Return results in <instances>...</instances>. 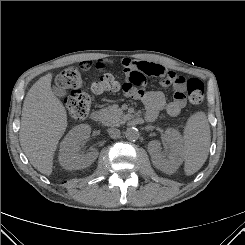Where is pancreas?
Wrapping results in <instances>:
<instances>
[{"label": "pancreas", "mask_w": 245, "mask_h": 245, "mask_svg": "<svg viewBox=\"0 0 245 245\" xmlns=\"http://www.w3.org/2000/svg\"><path fill=\"white\" fill-rule=\"evenodd\" d=\"M102 123L106 126H119L125 122L126 116L117 105L101 109Z\"/></svg>", "instance_id": "obj_1"}]
</instances>
